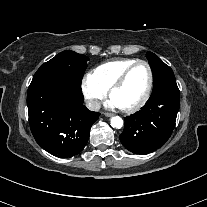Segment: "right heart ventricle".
Returning a JSON list of instances; mask_svg holds the SVG:
<instances>
[{
  "instance_id": "right-heart-ventricle-1",
  "label": "right heart ventricle",
  "mask_w": 207,
  "mask_h": 207,
  "mask_svg": "<svg viewBox=\"0 0 207 207\" xmlns=\"http://www.w3.org/2000/svg\"><path fill=\"white\" fill-rule=\"evenodd\" d=\"M134 61V59L106 61L94 68L90 76L98 85L108 91L120 74Z\"/></svg>"
}]
</instances>
